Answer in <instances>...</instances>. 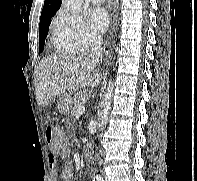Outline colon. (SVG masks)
Segmentation results:
<instances>
[{
  "label": "colon",
  "instance_id": "colon-1",
  "mask_svg": "<svg viewBox=\"0 0 197 181\" xmlns=\"http://www.w3.org/2000/svg\"><path fill=\"white\" fill-rule=\"evenodd\" d=\"M46 139L52 153H58L63 146V137L60 130L55 126L47 127Z\"/></svg>",
  "mask_w": 197,
  "mask_h": 181
}]
</instances>
